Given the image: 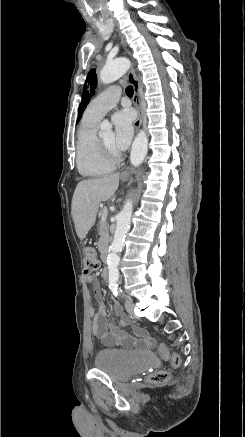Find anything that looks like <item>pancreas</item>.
Segmentation results:
<instances>
[{
	"label": "pancreas",
	"mask_w": 245,
	"mask_h": 437,
	"mask_svg": "<svg viewBox=\"0 0 245 437\" xmlns=\"http://www.w3.org/2000/svg\"><path fill=\"white\" fill-rule=\"evenodd\" d=\"M104 209H106V208H104ZM99 234H100V238L98 241V249L100 251H103L105 249V247L108 245L110 237H109L108 225L104 220H102V214H101V220L99 223Z\"/></svg>",
	"instance_id": "obj_1"
}]
</instances>
